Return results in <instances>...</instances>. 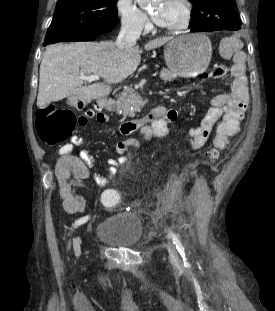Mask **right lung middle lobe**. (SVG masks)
<instances>
[{"label": "right lung middle lobe", "mask_w": 275, "mask_h": 311, "mask_svg": "<svg viewBox=\"0 0 275 311\" xmlns=\"http://www.w3.org/2000/svg\"><path fill=\"white\" fill-rule=\"evenodd\" d=\"M118 0H58L45 42L65 41L83 33L104 34L117 22Z\"/></svg>", "instance_id": "obj_1"}]
</instances>
